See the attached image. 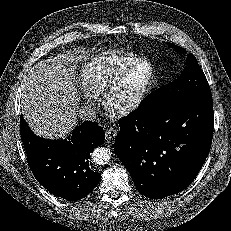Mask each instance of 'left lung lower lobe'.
Listing matches in <instances>:
<instances>
[{
    "instance_id": "left-lung-lower-lobe-1",
    "label": "left lung lower lobe",
    "mask_w": 231,
    "mask_h": 231,
    "mask_svg": "<svg viewBox=\"0 0 231 231\" xmlns=\"http://www.w3.org/2000/svg\"><path fill=\"white\" fill-rule=\"evenodd\" d=\"M213 120L212 97L159 112H148L140 105L120 119L115 151L138 191L161 199L187 188L210 151Z\"/></svg>"
}]
</instances>
